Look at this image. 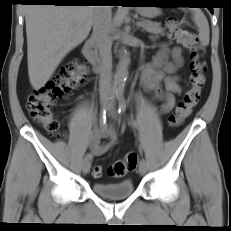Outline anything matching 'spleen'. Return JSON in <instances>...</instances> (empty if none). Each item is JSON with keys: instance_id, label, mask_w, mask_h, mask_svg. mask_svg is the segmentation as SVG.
I'll list each match as a JSON object with an SVG mask.
<instances>
[{"instance_id": "3e777b00", "label": "spleen", "mask_w": 231, "mask_h": 231, "mask_svg": "<svg viewBox=\"0 0 231 231\" xmlns=\"http://www.w3.org/2000/svg\"><path fill=\"white\" fill-rule=\"evenodd\" d=\"M193 21L199 29V40L202 45L206 46L209 44V24L205 15L199 10H193Z\"/></svg>"}]
</instances>
